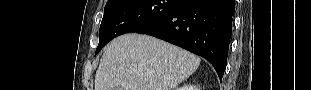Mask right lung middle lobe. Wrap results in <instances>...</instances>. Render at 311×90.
Here are the masks:
<instances>
[{
	"label": "right lung middle lobe",
	"mask_w": 311,
	"mask_h": 90,
	"mask_svg": "<svg viewBox=\"0 0 311 90\" xmlns=\"http://www.w3.org/2000/svg\"><path fill=\"white\" fill-rule=\"evenodd\" d=\"M181 0H109L99 30L96 54L113 38L140 29L170 13Z\"/></svg>",
	"instance_id": "right-lung-middle-lobe-1"
}]
</instances>
